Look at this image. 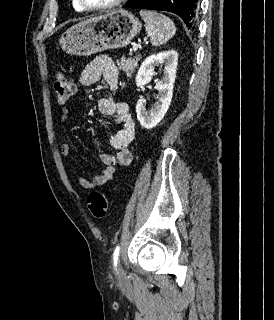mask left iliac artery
Masks as SVG:
<instances>
[{
	"label": "left iliac artery",
	"mask_w": 274,
	"mask_h": 320,
	"mask_svg": "<svg viewBox=\"0 0 274 320\" xmlns=\"http://www.w3.org/2000/svg\"><path fill=\"white\" fill-rule=\"evenodd\" d=\"M119 251H120V247L119 245L116 246L114 253H113V261H114V266H117V262H118V256H119Z\"/></svg>",
	"instance_id": "left-iliac-artery-1"
}]
</instances>
